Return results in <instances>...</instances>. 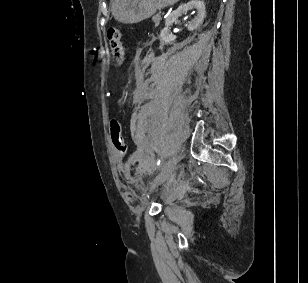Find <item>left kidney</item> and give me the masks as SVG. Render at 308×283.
<instances>
[{
	"label": "left kidney",
	"instance_id": "1",
	"mask_svg": "<svg viewBox=\"0 0 308 283\" xmlns=\"http://www.w3.org/2000/svg\"><path fill=\"white\" fill-rule=\"evenodd\" d=\"M196 9L197 13L194 19L188 24V30H194L199 27L205 16V4L203 0H191L190 2L179 6L175 11H173L165 20V28L162 29L160 38L161 40L168 44L176 39V36L169 33L168 27L171 26L178 17L186 13L188 10Z\"/></svg>",
	"mask_w": 308,
	"mask_h": 283
}]
</instances>
